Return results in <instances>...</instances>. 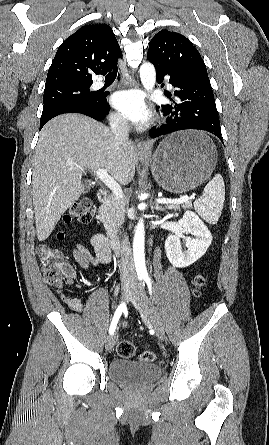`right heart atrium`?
I'll return each mask as SVG.
<instances>
[{
    "label": "right heart atrium",
    "instance_id": "d8ad5b80",
    "mask_svg": "<svg viewBox=\"0 0 269 445\" xmlns=\"http://www.w3.org/2000/svg\"><path fill=\"white\" fill-rule=\"evenodd\" d=\"M111 122L114 126L119 127V128H123L126 126L125 119L117 113H113L111 115Z\"/></svg>",
    "mask_w": 269,
    "mask_h": 445
}]
</instances>
